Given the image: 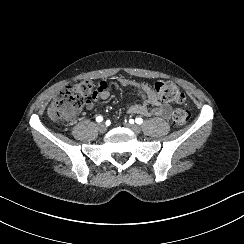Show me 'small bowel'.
I'll use <instances>...</instances> for the list:
<instances>
[{"mask_svg":"<svg viewBox=\"0 0 244 244\" xmlns=\"http://www.w3.org/2000/svg\"><path fill=\"white\" fill-rule=\"evenodd\" d=\"M121 85L133 87L139 98L140 104L128 105L126 110L131 114L141 115L144 117H162L168 119L172 114V108L169 104L162 101L160 97L152 90V88L143 82L129 80L123 76L118 78ZM110 86L107 82L102 81L98 84L96 90V97L98 100L106 101L110 98ZM94 101H88L86 104L87 110H94Z\"/></svg>","mask_w":244,"mask_h":244,"instance_id":"c3829d8e","label":"small bowel"}]
</instances>
